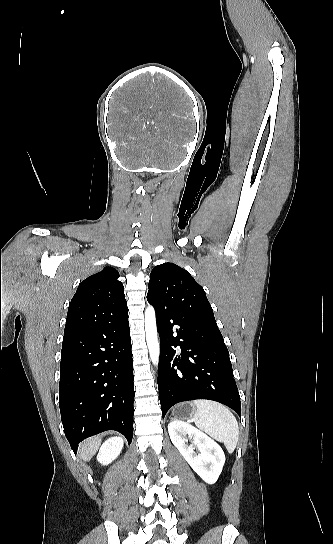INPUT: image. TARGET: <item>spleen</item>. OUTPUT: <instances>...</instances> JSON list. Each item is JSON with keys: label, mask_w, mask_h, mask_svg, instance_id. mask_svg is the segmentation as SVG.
Returning <instances> with one entry per match:
<instances>
[{"label": "spleen", "mask_w": 333, "mask_h": 544, "mask_svg": "<svg viewBox=\"0 0 333 544\" xmlns=\"http://www.w3.org/2000/svg\"><path fill=\"white\" fill-rule=\"evenodd\" d=\"M192 420L195 425L214 439L223 442L229 453H233L239 438V426L231 411L215 401L194 400Z\"/></svg>", "instance_id": "spleen-1"}]
</instances>
